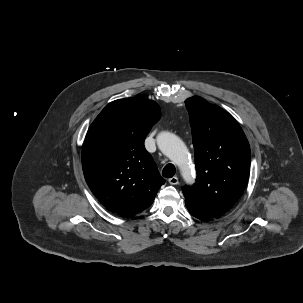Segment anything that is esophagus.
Returning a JSON list of instances; mask_svg holds the SVG:
<instances>
[{
  "mask_svg": "<svg viewBox=\"0 0 303 303\" xmlns=\"http://www.w3.org/2000/svg\"><path fill=\"white\" fill-rule=\"evenodd\" d=\"M171 185H177L179 183L178 177L174 176L168 180Z\"/></svg>",
  "mask_w": 303,
  "mask_h": 303,
  "instance_id": "34e87169",
  "label": "esophagus"
}]
</instances>
